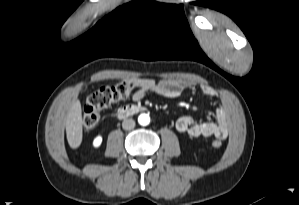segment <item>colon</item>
<instances>
[{"label":"colon","mask_w":299,"mask_h":205,"mask_svg":"<svg viewBox=\"0 0 299 205\" xmlns=\"http://www.w3.org/2000/svg\"><path fill=\"white\" fill-rule=\"evenodd\" d=\"M137 79L119 81L114 86H104L92 92L86 99L83 113V128L85 131L93 129L99 122L100 111L128 98L138 88ZM214 148H220L222 142L214 140Z\"/></svg>","instance_id":"obj_1"}]
</instances>
